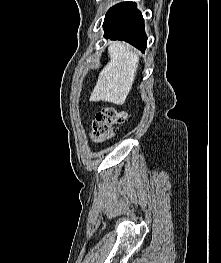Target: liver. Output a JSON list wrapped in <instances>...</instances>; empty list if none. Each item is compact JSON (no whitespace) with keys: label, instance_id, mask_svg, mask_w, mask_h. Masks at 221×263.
I'll return each mask as SVG.
<instances>
[{"label":"liver","instance_id":"obj_1","mask_svg":"<svg viewBox=\"0 0 221 263\" xmlns=\"http://www.w3.org/2000/svg\"><path fill=\"white\" fill-rule=\"evenodd\" d=\"M110 61L100 72L91 92L90 101H105L123 105L132 88L139 64V56L123 42L108 48Z\"/></svg>","mask_w":221,"mask_h":263}]
</instances>
